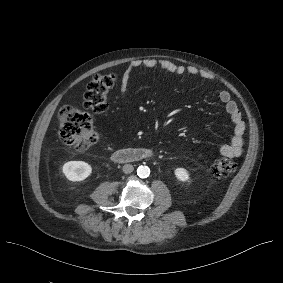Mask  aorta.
Wrapping results in <instances>:
<instances>
[{
    "instance_id": "1",
    "label": "aorta",
    "mask_w": 283,
    "mask_h": 283,
    "mask_svg": "<svg viewBox=\"0 0 283 283\" xmlns=\"http://www.w3.org/2000/svg\"><path fill=\"white\" fill-rule=\"evenodd\" d=\"M137 175L140 178H147L150 175V169L148 166H139L137 169Z\"/></svg>"
}]
</instances>
